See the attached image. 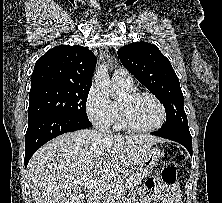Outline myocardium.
<instances>
[{
    "label": "myocardium",
    "mask_w": 222,
    "mask_h": 203,
    "mask_svg": "<svg viewBox=\"0 0 222 203\" xmlns=\"http://www.w3.org/2000/svg\"><path fill=\"white\" fill-rule=\"evenodd\" d=\"M143 96L149 97L152 100H154L155 103L159 106L160 111H161L160 121L152 127H140V126L136 125L133 122V120L128 112L127 106H126L127 103H130L133 100H135L139 97H143ZM123 97H124L125 102L123 103V102L119 101L118 108H119L121 120H122L123 124L125 125V127L128 128L129 130L134 131V132H141V133L154 132V131L160 129L164 125V123L166 122L167 114H166L165 106L160 101V99L157 96H155L154 94H152L150 92H143V91H138V92L132 91V92H126Z\"/></svg>",
    "instance_id": "myocardium-1"
}]
</instances>
